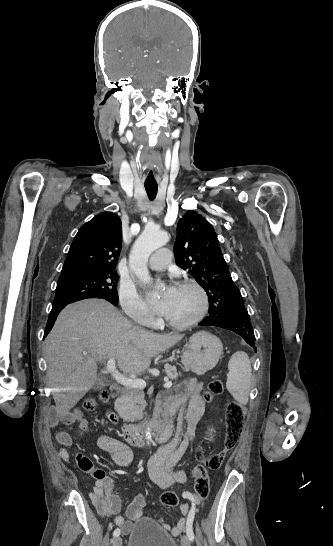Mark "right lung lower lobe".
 Wrapping results in <instances>:
<instances>
[{"mask_svg": "<svg viewBox=\"0 0 333 546\" xmlns=\"http://www.w3.org/2000/svg\"><path fill=\"white\" fill-rule=\"evenodd\" d=\"M107 301H109L110 303H112L113 305L117 306L118 305V301L116 300H113V299H110V298H106ZM69 303H65V304H59V305H54L52 307V310L49 314V318H48V322H47V325H46V329H45V336L50 332V330L52 329L53 325H54V322L57 318V315L60 313V311L66 306L68 305Z\"/></svg>", "mask_w": 333, "mask_h": 546, "instance_id": "obj_1", "label": "right lung lower lobe"}]
</instances>
